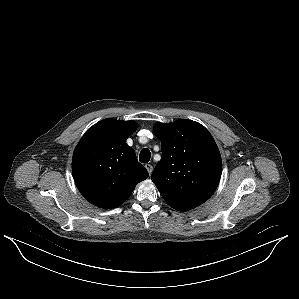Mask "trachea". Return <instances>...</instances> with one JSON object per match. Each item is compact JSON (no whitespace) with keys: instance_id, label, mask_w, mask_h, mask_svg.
<instances>
[{"instance_id":"trachea-1","label":"trachea","mask_w":299,"mask_h":299,"mask_svg":"<svg viewBox=\"0 0 299 299\" xmlns=\"http://www.w3.org/2000/svg\"><path fill=\"white\" fill-rule=\"evenodd\" d=\"M150 158H151V153H150L149 149L144 148L140 152L139 161L142 163H147V162H149Z\"/></svg>"}]
</instances>
